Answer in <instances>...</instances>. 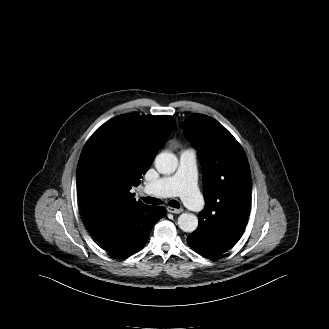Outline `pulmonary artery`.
<instances>
[{"instance_id": "obj_1", "label": "pulmonary artery", "mask_w": 329, "mask_h": 329, "mask_svg": "<svg viewBox=\"0 0 329 329\" xmlns=\"http://www.w3.org/2000/svg\"><path fill=\"white\" fill-rule=\"evenodd\" d=\"M145 192L158 197L180 196L190 210L202 211L204 201L196 185L195 150H182L179 154L177 171L148 184Z\"/></svg>"}]
</instances>
